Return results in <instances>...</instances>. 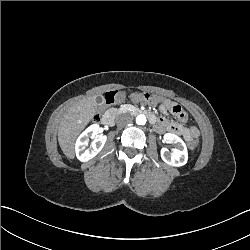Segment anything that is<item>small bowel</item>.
<instances>
[{
  "label": "small bowel",
  "mask_w": 250,
  "mask_h": 250,
  "mask_svg": "<svg viewBox=\"0 0 250 250\" xmlns=\"http://www.w3.org/2000/svg\"><path fill=\"white\" fill-rule=\"evenodd\" d=\"M132 99L134 101L140 100L139 97H138V93L132 94ZM162 106L165 107V108H169L174 113L173 109L177 105H173L170 101H163ZM181 111L184 112L182 109H181ZM149 117H152V115H149ZM157 124H159L161 127H167L168 126L167 122H165V121L158 122ZM170 128L175 132H182L184 130L183 127L181 125H179V124H172V125H170ZM187 135H188L189 138H196L198 136V130L195 127H191V128H189L187 130Z\"/></svg>",
  "instance_id": "1"
}]
</instances>
